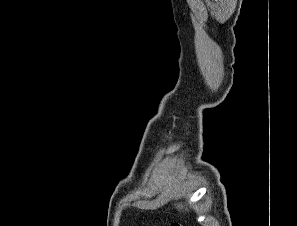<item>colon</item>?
<instances>
[{"label":"colon","mask_w":297,"mask_h":226,"mask_svg":"<svg viewBox=\"0 0 297 226\" xmlns=\"http://www.w3.org/2000/svg\"><path fill=\"white\" fill-rule=\"evenodd\" d=\"M172 226H181L180 224H178V223H175V224H173Z\"/></svg>","instance_id":"1"}]
</instances>
